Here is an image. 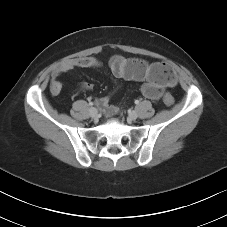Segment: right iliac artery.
Here are the masks:
<instances>
[{
	"instance_id": "right-iliac-artery-1",
	"label": "right iliac artery",
	"mask_w": 227,
	"mask_h": 227,
	"mask_svg": "<svg viewBox=\"0 0 227 227\" xmlns=\"http://www.w3.org/2000/svg\"><path fill=\"white\" fill-rule=\"evenodd\" d=\"M89 105H91V106H92V105H93V103H92V102H90V103H89ZM91 108H93V107H91Z\"/></svg>"
}]
</instances>
